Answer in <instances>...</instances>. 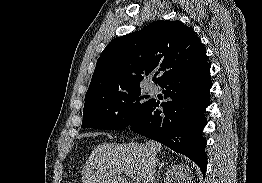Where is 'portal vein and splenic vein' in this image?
<instances>
[{
    "label": "portal vein and splenic vein",
    "mask_w": 262,
    "mask_h": 183,
    "mask_svg": "<svg viewBox=\"0 0 262 183\" xmlns=\"http://www.w3.org/2000/svg\"><path fill=\"white\" fill-rule=\"evenodd\" d=\"M124 174L126 176L130 177L133 180L134 183H139L140 182L139 176L134 174L132 171L126 170V171H124Z\"/></svg>",
    "instance_id": "portal-vein-and-splenic-vein-1"
}]
</instances>
